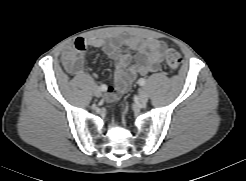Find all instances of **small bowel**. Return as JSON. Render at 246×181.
<instances>
[{
    "label": "small bowel",
    "mask_w": 246,
    "mask_h": 181,
    "mask_svg": "<svg viewBox=\"0 0 246 181\" xmlns=\"http://www.w3.org/2000/svg\"><path fill=\"white\" fill-rule=\"evenodd\" d=\"M87 47L101 49L115 63V85H105V91L112 100L126 93L137 76L159 71L167 49L160 40H144L126 35H117L111 40L77 38L62 54V63L67 72L75 76L83 73ZM130 50L135 52L134 56Z\"/></svg>",
    "instance_id": "obj_1"
}]
</instances>
